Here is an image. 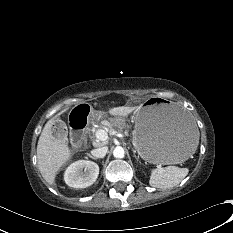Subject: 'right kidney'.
<instances>
[{
  "label": "right kidney",
  "mask_w": 233,
  "mask_h": 233,
  "mask_svg": "<svg viewBox=\"0 0 233 233\" xmlns=\"http://www.w3.org/2000/svg\"><path fill=\"white\" fill-rule=\"evenodd\" d=\"M99 175V166L92 161L79 160L72 163L65 171L64 180L73 188L91 186Z\"/></svg>",
  "instance_id": "right-kidney-1"
}]
</instances>
